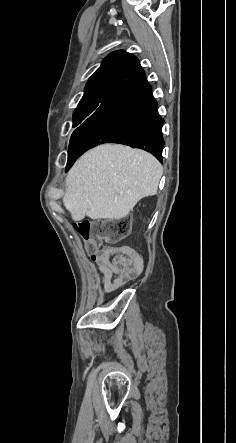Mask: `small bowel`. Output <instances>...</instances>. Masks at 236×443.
<instances>
[{
  "mask_svg": "<svg viewBox=\"0 0 236 443\" xmlns=\"http://www.w3.org/2000/svg\"><path fill=\"white\" fill-rule=\"evenodd\" d=\"M98 269L102 275V284L106 292L121 289L135 279L143 269V259L130 246H107L100 249L95 256Z\"/></svg>",
  "mask_w": 236,
  "mask_h": 443,
  "instance_id": "obj_1",
  "label": "small bowel"
}]
</instances>
